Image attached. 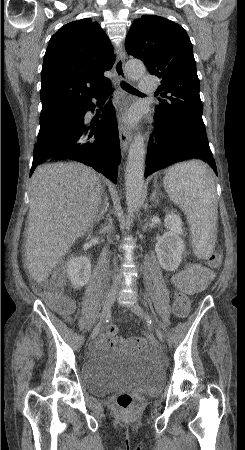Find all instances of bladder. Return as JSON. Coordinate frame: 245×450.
Wrapping results in <instances>:
<instances>
[{
	"instance_id": "1",
	"label": "bladder",
	"mask_w": 245,
	"mask_h": 450,
	"mask_svg": "<svg viewBox=\"0 0 245 450\" xmlns=\"http://www.w3.org/2000/svg\"><path fill=\"white\" fill-rule=\"evenodd\" d=\"M80 369L82 384L95 396L121 388L153 393L163 381L160 368L141 355H103L86 360Z\"/></svg>"
}]
</instances>
